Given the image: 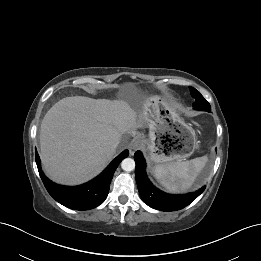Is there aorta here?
I'll list each match as a JSON object with an SVG mask.
<instances>
[{
  "instance_id": "aorta-1",
  "label": "aorta",
  "mask_w": 261,
  "mask_h": 261,
  "mask_svg": "<svg viewBox=\"0 0 261 261\" xmlns=\"http://www.w3.org/2000/svg\"><path fill=\"white\" fill-rule=\"evenodd\" d=\"M121 168L127 172L133 171L135 169V161L132 158H125L121 162Z\"/></svg>"
}]
</instances>
